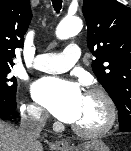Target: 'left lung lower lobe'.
<instances>
[{
    "mask_svg": "<svg viewBox=\"0 0 131 151\" xmlns=\"http://www.w3.org/2000/svg\"><path fill=\"white\" fill-rule=\"evenodd\" d=\"M121 132H131V127H126V128H123V129H120Z\"/></svg>",
    "mask_w": 131,
    "mask_h": 151,
    "instance_id": "0a47b994",
    "label": "left lung lower lobe"
}]
</instances>
